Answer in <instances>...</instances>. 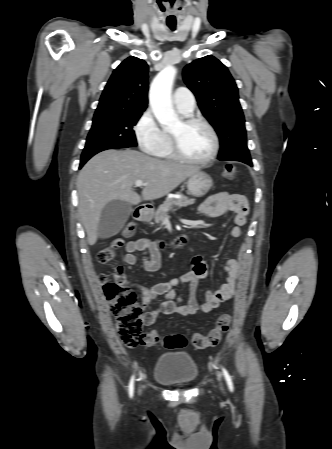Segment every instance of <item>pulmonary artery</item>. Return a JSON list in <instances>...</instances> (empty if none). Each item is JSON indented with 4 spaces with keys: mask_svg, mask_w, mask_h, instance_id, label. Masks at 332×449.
Masks as SVG:
<instances>
[{
    "mask_svg": "<svg viewBox=\"0 0 332 449\" xmlns=\"http://www.w3.org/2000/svg\"><path fill=\"white\" fill-rule=\"evenodd\" d=\"M172 99L175 107L183 114H189L195 108L194 95L186 87H178L174 91Z\"/></svg>",
    "mask_w": 332,
    "mask_h": 449,
    "instance_id": "1",
    "label": "pulmonary artery"
}]
</instances>
